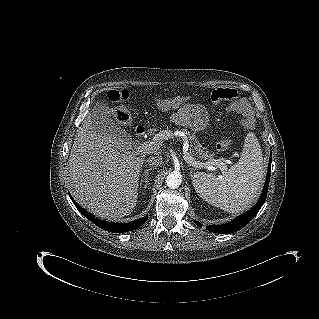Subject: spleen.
<instances>
[{
    "label": "spleen",
    "instance_id": "1",
    "mask_svg": "<svg viewBox=\"0 0 319 319\" xmlns=\"http://www.w3.org/2000/svg\"><path fill=\"white\" fill-rule=\"evenodd\" d=\"M263 178L262 150L256 135L250 132L240 160L222 176L198 172L192 181L198 195L207 203L229 213H238L254 202Z\"/></svg>",
    "mask_w": 319,
    "mask_h": 319
}]
</instances>
